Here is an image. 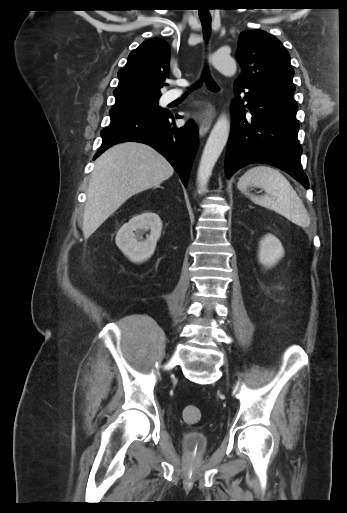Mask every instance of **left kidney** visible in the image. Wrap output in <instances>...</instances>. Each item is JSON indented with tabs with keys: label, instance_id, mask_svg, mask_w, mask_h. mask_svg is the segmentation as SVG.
I'll use <instances>...</instances> for the list:
<instances>
[{
	"label": "left kidney",
	"instance_id": "1",
	"mask_svg": "<svg viewBox=\"0 0 347 513\" xmlns=\"http://www.w3.org/2000/svg\"><path fill=\"white\" fill-rule=\"evenodd\" d=\"M284 255V248L278 238L272 234L265 235L259 242L258 258L261 264L272 267Z\"/></svg>",
	"mask_w": 347,
	"mask_h": 513
}]
</instances>
